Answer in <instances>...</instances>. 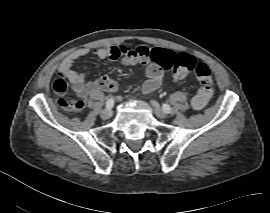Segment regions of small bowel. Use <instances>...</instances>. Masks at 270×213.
<instances>
[{
    "label": "small bowel",
    "mask_w": 270,
    "mask_h": 213,
    "mask_svg": "<svg viewBox=\"0 0 270 213\" xmlns=\"http://www.w3.org/2000/svg\"><path fill=\"white\" fill-rule=\"evenodd\" d=\"M117 47H99L93 50L81 48L74 50L68 54L59 65V80L62 85L67 88L71 86L82 99L89 98L96 90L104 89L107 91H117L119 85L112 81L108 76H102L95 82H86L83 76L73 69L74 62L90 52H92L99 59H122V62L126 66H133L137 64L138 57H121L116 54ZM155 51H167L173 55L176 53L167 48H155ZM144 73L148 77V80L143 84V91L147 94L155 91L162 82L164 75V69L160 65L146 64L144 66Z\"/></svg>",
    "instance_id": "obj_1"
}]
</instances>
